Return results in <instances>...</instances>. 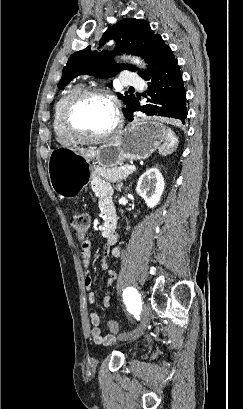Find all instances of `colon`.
<instances>
[{"instance_id": "1", "label": "colon", "mask_w": 243, "mask_h": 409, "mask_svg": "<svg viewBox=\"0 0 243 409\" xmlns=\"http://www.w3.org/2000/svg\"><path fill=\"white\" fill-rule=\"evenodd\" d=\"M71 225L78 239L83 240L89 227V218L84 213L73 212L71 215ZM107 327L113 335L119 332V326L115 321H107Z\"/></svg>"}]
</instances>
